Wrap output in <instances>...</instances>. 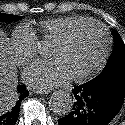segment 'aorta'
<instances>
[{
  "mask_svg": "<svg viewBox=\"0 0 125 125\" xmlns=\"http://www.w3.org/2000/svg\"><path fill=\"white\" fill-rule=\"evenodd\" d=\"M73 103L74 99L70 93L57 90L50 97L49 107L58 115H67L72 111Z\"/></svg>",
  "mask_w": 125,
  "mask_h": 125,
  "instance_id": "aorta-1",
  "label": "aorta"
}]
</instances>
